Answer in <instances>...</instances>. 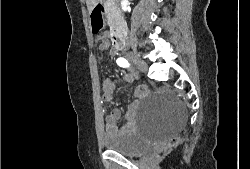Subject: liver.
<instances>
[{
	"label": "liver",
	"instance_id": "1",
	"mask_svg": "<svg viewBox=\"0 0 250 169\" xmlns=\"http://www.w3.org/2000/svg\"><path fill=\"white\" fill-rule=\"evenodd\" d=\"M97 2H99V0H86V4H87V8L89 10V12H91V10H93L94 6H96Z\"/></svg>",
	"mask_w": 250,
	"mask_h": 169
}]
</instances>
